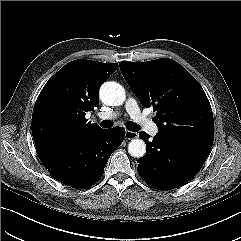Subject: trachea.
Returning <instances> with one entry per match:
<instances>
[{
    "mask_svg": "<svg viewBox=\"0 0 241 241\" xmlns=\"http://www.w3.org/2000/svg\"><path fill=\"white\" fill-rule=\"evenodd\" d=\"M100 126L103 128H110L113 126V122H111L109 120H104L100 123ZM126 127H127V129H129L131 131L139 130V127L137 126V124H135L134 122H131V121L126 123Z\"/></svg>",
    "mask_w": 241,
    "mask_h": 241,
    "instance_id": "3493384b",
    "label": "trachea"
}]
</instances>
